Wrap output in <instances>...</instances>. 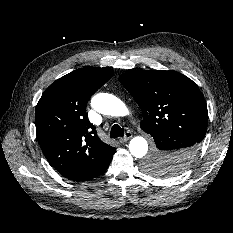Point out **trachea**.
Returning <instances> with one entry per match:
<instances>
[{
	"mask_svg": "<svg viewBox=\"0 0 233 233\" xmlns=\"http://www.w3.org/2000/svg\"><path fill=\"white\" fill-rule=\"evenodd\" d=\"M119 136H121V137L124 136L123 129L118 124H114L111 128V131H110V137L117 138Z\"/></svg>",
	"mask_w": 233,
	"mask_h": 233,
	"instance_id": "1",
	"label": "trachea"
}]
</instances>
